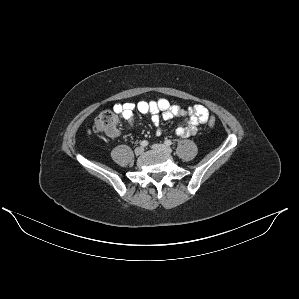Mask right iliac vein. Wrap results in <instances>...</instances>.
<instances>
[{
    "label": "right iliac vein",
    "instance_id": "obj_1",
    "mask_svg": "<svg viewBox=\"0 0 299 299\" xmlns=\"http://www.w3.org/2000/svg\"><path fill=\"white\" fill-rule=\"evenodd\" d=\"M135 154L136 155H141L143 152H144V148L143 147H137L135 150H134Z\"/></svg>",
    "mask_w": 299,
    "mask_h": 299
}]
</instances>
